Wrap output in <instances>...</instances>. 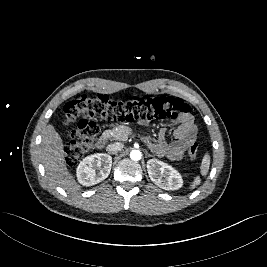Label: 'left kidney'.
Segmentation results:
<instances>
[{
  "instance_id": "left-kidney-1",
  "label": "left kidney",
  "mask_w": 267,
  "mask_h": 267,
  "mask_svg": "<svg viewBox=\"0 0 267 267\" xmlns=\"http://www.w3.org/2000/svg\"><path fill=\"white\" fill-rule=\"evenodd\" d=\"M151 181L164 190H178L183 185L181 174L169 164L157 159L147 161Z\"/></svg>"
}]
</instances>
